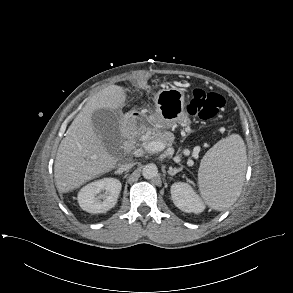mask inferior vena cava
<instances>
[{
    "label": "inferior vena cava",
    "instance_id": "1",
    "mask_svg": "<svg viewBox=\"0 0 293 293\" xmlns=\"http://www.w3.org/2000/svg\"><path fill=\"white\" fill-rule=\"evenodd\" d=\"M133 166H134V163L133 162L125 163V164H122L118 168V170H119V172L127 171V170L131 169Z\"/></svg>",
    "mask_w": 293,
    "mask_h": 293
}]
</instances>
